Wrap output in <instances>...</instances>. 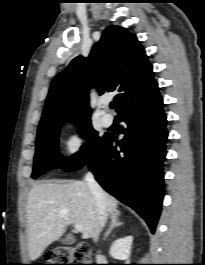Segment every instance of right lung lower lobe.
I'll return each mask as SVG.
<instances>
[{"mask_svg":"<svg viewBox=\"0 0 205 265\" xmlns=\"http://www.w3.org/2000/svg\"><path fill=\"white\" fill-rule=\"evenodd\" d=\"M118 119L126 123L124 138L116 140L107 134L88 166L99 184L133 208L154 233L163 199L162 162L168 136L163 99L157 91L144 103L120 113Z\"/></svg>","mask_w":205,"mask_h":265,"instance_id":"1","label":"right lung lower lobe"}]
</instances>
